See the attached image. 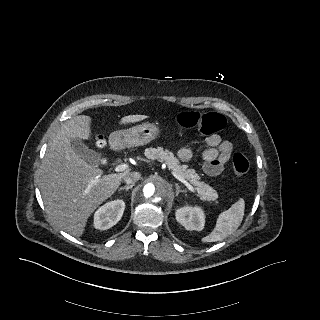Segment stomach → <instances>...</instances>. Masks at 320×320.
Returning <instances> with one entry per match:
<instances>
[{
  "label": "stomach",
  "mask_w": 320,
  "mask_h": 320,
  "mask_svg": "<svg viewBox=\"0 0 320 320\" xmlns=\"http://www.w3.org/2000/svg\"><path fill=\"white\" fill-rule=\"evenodd\" d=\"M160 135V128L151 123L133 126L111 134L110 140L115 146L133 147L150 143Z\"/></svg>",
  "instance_id": "obj_1"
}]
</instances>
